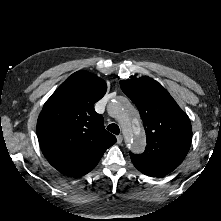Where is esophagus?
<instances>
[{
	"mask_svg": "<svg viewBox=\"0 0 221 221\" xmlns=\"http://www.w3.org/2000/svg\"><path fill=\"white\" fill-rule=\"evenodd\" d=\"M122 141H123V136H122V135H118V136H117V143H118V144H121Z\"/></svg>",
	"mask_w": 221,
	"mask_h": 221,
	"instance_id": "obj_1",
	"label": "esophagus"
}]
</instances>
